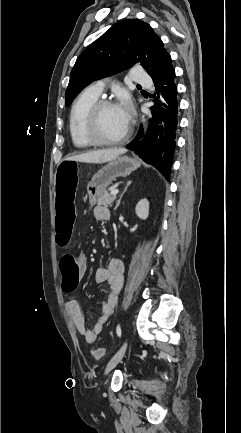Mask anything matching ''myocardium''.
Segmentation results:
<instances>
[{"label": "myocardium", "mask_w": 241, "mask_h": 433, "mask_svg": "<svg viewBox=\"0 0 241 433\" xmlns=\"http://www.w3.org/2000/svg\"><path fill=\"white\" fill-rule=\"evenodd\" d=\"M109 106H116V103L110 99H99L89 109L85 121L84 131L88 139L95 145H116L128 139L131 133V127L128 124L124 133L118 138L107 139L98 132V121L102 110Z\"/></svg>", "instance_id": "obj_1"}]
</instances>
